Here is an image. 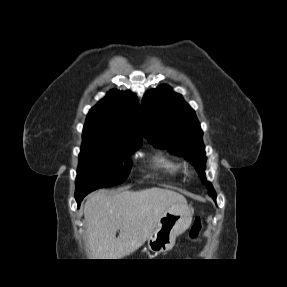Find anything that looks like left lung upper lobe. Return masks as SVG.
<instances>
[{
    "label": "left lung upper lobe",
    "mask_w": 287,
    "mask_h": 287,
    "mask_svg": "<svg viewBox=\"0 0 287 287\" xmlns=\"http://www.w3.org/2000/svg\"><path fill=\"white\" fill-rule=\"evenodd\" d=\"M144 136L156 147L184 155L195 166L208 194L216 200V192L205 178V147L203 132L194 110L182 96L167 85L146 94L141 105Z\"/></svg>",
    "instance_id": "5c2ea615"
}]
</instances>
